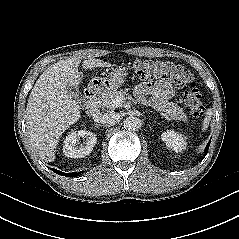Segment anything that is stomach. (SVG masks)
Masks as SVG:
<instances>
[{"label": "stomach", "instance_id": "obj_1", "mask_svg": "<svg viewBox=\"0 0 239 239\" xmlns=\"http://www.w3.org/2000/svg\"><path fill=\"white\" fill-rule=\"evenodd\" d=\"M127 72L124 68L113 69L107 77H94L90 80L89 88L95 92H109L117 89L126 80Z\"/></svg>", "mask_w": 239, "mask_h": 239}]
</instances>
